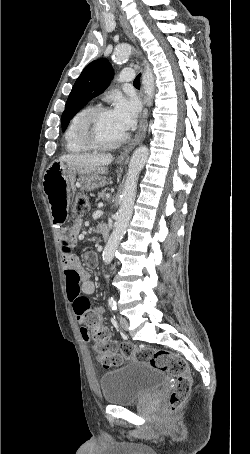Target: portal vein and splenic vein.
<instances>
[{"mask_svg": "<svg viewBox=\"0 0 250 454\" xmlns=\"http://www.w3.org/2000/svg\"><path fill=\"white\" fill-rule=\"evenodd\" d=\"M102 205H103V204H102V203H100V204H99V207H101Z\"/></svg>", "mask_w": 250, "mask_h": 454, "instance_id": "obj_1", "label": "portal vein and splenic vein"}]
</instances>
